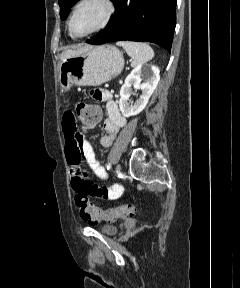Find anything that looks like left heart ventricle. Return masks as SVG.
Returning a JSON list of instances; mask_svg holds the SVG:
<instances>
[{
    "instance_id": "left-heart-ventricle-1",
    "label": "left heart ventricle",
    "mask_w": 240,
    "mask_h": 288,
    "mask_svg": "<svg viewBox=\"0 0 240 288\" xmlns=\"http://www.w3.org/2000/svg\"><path fill=\"white\" fill-rule=\"evenodd\" d=\"M105 12V6L99 0H91L83 4L73 19L74 33L83 35L98 27L103 21Z\"/></svg>"
}]
</instances>
